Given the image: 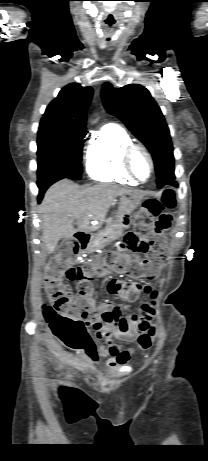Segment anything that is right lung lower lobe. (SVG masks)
<instances>
[{"mask_svg":"<svg viewBox=\"0 0 208 461\" xmlns=\"http://www.w3.org/2000/svg\"><path fill=\"white\" fill-rule=\"evenodd\" d=\"M61 179H63V178H62V177L54 178V179L49 180V181H47V182H45V183H43V184H41V185H38V188H39L38 201H39V202L41 201L44 192L47 190V188H48L49 186H51L53 183H55L56 181L61 180Z\"/></svg>","mask_w":208,"mask_h":461,"instance_id":"1","label":"right lung lower lobe"}]
</instances>
